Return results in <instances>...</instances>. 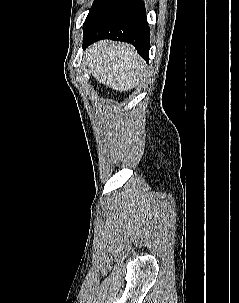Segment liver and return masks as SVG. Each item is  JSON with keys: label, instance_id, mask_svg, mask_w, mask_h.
Wrapping results in <instances>:
<instances>
[{"label": "liver", "instance_id": "6515ba94", "mask_svg": "<svg viewBox=\"0 0 239 303\" xmlns=\"http://www.w3.org/2000/svg\"><path fill=\"white\" fill-rule=\"evenodd\" d=\"M84 58L99 83L119 92L133 89L144 74V61L127 43L96 42L86 50Z\"/></svg>", "mask_w": 239, "mask_h": 303}]
</instances>
